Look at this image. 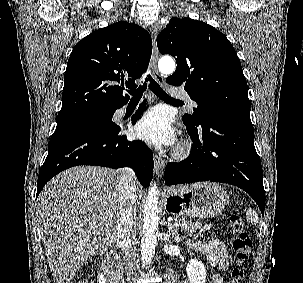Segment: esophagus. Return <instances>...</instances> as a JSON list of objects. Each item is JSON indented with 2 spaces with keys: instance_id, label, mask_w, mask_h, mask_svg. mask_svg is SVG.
<instances>
[{
  "instance_id": "34e87169",
  "label": "esophagus",
  "mask_w": 303,
  "mask_h": 283,
  "mask_svg": "<svg viewBox=\"0 0 303 283\" xmlns=\"http://www.w3.org/2000/svg\"><path fill=\"white\" fill-rule=\"evenodd\" d=\"M157 28L153 26L151 28V35H152V58H151V72L156 79L157 82L162 84L164 82L163 76L159 73L157 68V61L159 57L156 37H157ZM165 167V160L158 156L157 154L154 155V170L157 176H161L163 173V169Z\"/></svg>"
}]
</instances>
